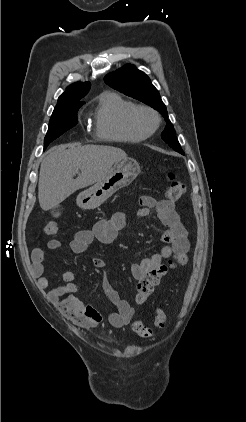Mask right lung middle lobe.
Wrapping results in <instances>:
<instances>
[{
    "mask_svg": "<svg viewBox=\"0 0 246 422\" xmlns=\"http://www.w3.org/2000/svg\"><path fill=\"white\" fill-rule=\"evenodd\" d=\"M83 104L55 107L49 121V128L44 139V149L56 138L74 127L77 123V112Z\"/></svg>",
    "mask_w": 246,
    "mask_h": 422,
    "instance_id": "1",
    "label": "right lung middle lobe"
}]
</instances>
